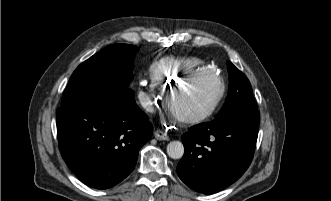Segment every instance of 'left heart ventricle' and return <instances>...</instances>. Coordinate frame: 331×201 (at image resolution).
<instances>
[{"label": "left heart ventricle", "mask_w": 331, "mask_h": 201, "mask_svg": "<svg viewBox=\"0 0 331 201\" xmlns=\"http://www.w3.org/2000/svg\"><path fill=\"white\" fill-rule=\"evenodd\" d=\"M218 91L215 77L207 74L176 89L172 95L174 110L179 114H193L206 106Z\"/></svg>", "instance_id": "b2bd125f"}]
</instances>
